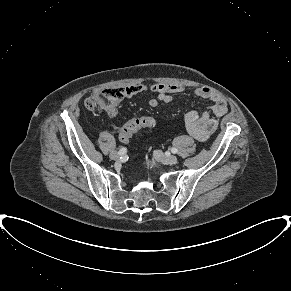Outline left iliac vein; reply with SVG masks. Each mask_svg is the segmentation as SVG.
<instances>
[{"label": "left iliac vein", "instance_id": "obj_1", "mask_svg": "<svg viewBox=\"0 0 291 291\" xmlns=\"http://www.w3.org/2000/svg\"><path fill=\"white\" fill-rule=\"evenodd\" d=\"M153 155L157 161H160L164 164L172 165V164H176L178 162V158L176 156L166 155L160 150H155Z\"/></svg>", "mask_w": 291, "mask_h": 291}]
</instances>
